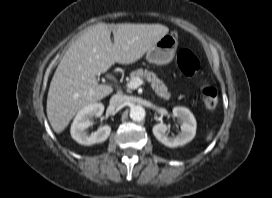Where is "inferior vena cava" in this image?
Instances as JSON below:
<instances>
[{
  "label": "inferior vena cava",
  "mask_w": 272,
  "mask_h": 198,
  "mask_svg": "<svg viewBox=\"0 0 272 198\" xmlns=\"http://www.w3.org/2000/svg\"><path fill=\"white\" fill-rule=\"evenodd\" d=\"M127 102V98L125 95L121 93H117L113 95L110 99V105L113 107H121Z\"/></svg>",
  "instance_id": "1"
}]
</instances>
